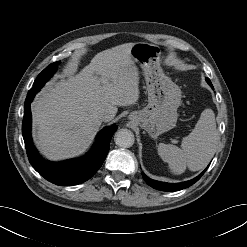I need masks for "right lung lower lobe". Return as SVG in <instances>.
<instances>
[{
  "mask_svg": "<svg viewBox=\"0 0 247 247\" xmlns=\"http://www.w3.org/2000/svg\"><path fill=\"white\" fill-rule=\"evenodd\" d=\"M38 91V89H30L27 94L22 124L23 139L31 165L45 179L60 186H72L87 181L103 164L109 151L111 137L117 130V126L102 129L92 150L82 158L58 163L46 161L36 151L31 138L30 103Z\"/></svg>",
  "mask_w": 247,
  "mask_h": 247,
  "instance_id": "1",
  "label": "right lung lower lobe"
}]
</instances>
